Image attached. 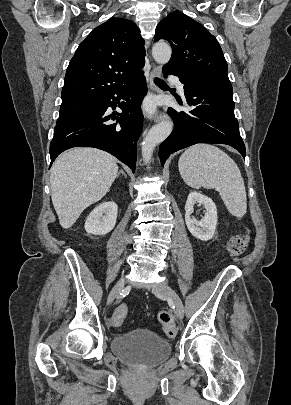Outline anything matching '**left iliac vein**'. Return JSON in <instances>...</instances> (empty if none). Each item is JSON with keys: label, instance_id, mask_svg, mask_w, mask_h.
<instances>
[{"label": "left iliac vein", "instance_id": "left-iliac-vein-1", "mask_svg": "<svg viewBox=\"0 0 291 405\" xmlns=\"http://www.w3.org/2000/svg\"><path fill=\"white\" fill-rule=\"evenodd\" d=\"M154 294L159 298H170L175 306L177 316L182 319L184 316V306L178 294L168 285L160 284L153 288Z\"/></svg>", "mask_w": 291, "mask_h": 405}]
</instances>
